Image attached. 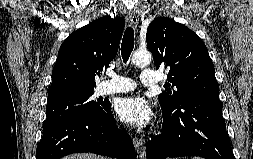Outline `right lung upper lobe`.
<instances>
[{"instance_id": "obj_1", "label": "right lung upper lobe", "mask_w": 253, "mask_h": 159, "mask_svg": "<svg viewBox=\"0 0 253 159\" xmlns=\"http://www.w3.org/2000/svg\"><path fill=\"white\" fill-rule=\"evenodd\" d=\"M124 26L122 18L104 16L69 35L58 52L49 99L93 91L98 71L117 54Z\"/></svg>"}]
</instances>
